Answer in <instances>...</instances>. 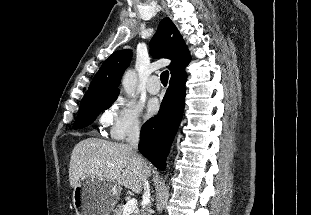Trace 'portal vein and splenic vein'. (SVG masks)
<instances>
[{
  "label": "portal vein and splenic vein",
  "instance_id": "1",
  "mask_svg": "<svg viewBox=\"0 0 311 215\" xmlns=\"http://www.w3.org/2000/svg\"><path fill=\"white\" fill-rule=\"evenodd\" d=\"M137 209V200L130 199L124 206L123 215H130Z\"/></svg>",
  "mask_w": 311,
  "mask_h": 215
}]
</instances>
